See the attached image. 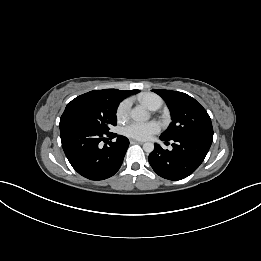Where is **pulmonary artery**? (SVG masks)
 <instances>
[{
    "mask_svg": "<svg viewBox=\"0 0 261 261\" xmlns=\"http://www.w3.org/2000/svg\"><path fill=\"white\" fill-rule=\"evenodd\" d=\"M161 104H162V101H161V99L159 98L158 100H156V101L153 103V105H152V107L150 108V110L155 111V110L159 109L160 106H161Z\"/></svg>",
    "mask_w": 261,
    "mask_h": 261,
    "instance_id": "pulmonary-artery-1",
    "label": "pulmonary artery"
}]
</instances>
